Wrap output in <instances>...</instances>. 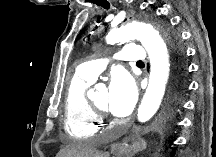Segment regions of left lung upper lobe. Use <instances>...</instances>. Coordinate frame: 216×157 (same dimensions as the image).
Segmentation results:
<instances>
[{
  "instance_id": "left-lung-upper-lobe-1",
  "label": "left lung upper lobe",
  "mask_w": 216,
  "mask_h": 157,
  "mask_svg": "<svg viewBox=\"0 0 216 157\" xmlns=\"http://www.w3.org/2000/svg\"><path fill=\"white\" fill-rule=\"evenodd\" d=\"M159 28L166 38L173 63V72L175 67H177V69H179L180 71V76L183 77L186 69V64L184 61V50L180 44L179 36L164 23H160Z\"/></svg>"
}]
</instances>
